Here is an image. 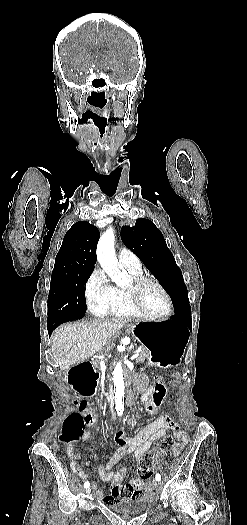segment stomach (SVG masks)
I'll list each match as a JSON object with an SVG mask.
<instances>
[{
    "label": "stomach",
    "mask_w": 247,
    "mask_h": 525,
    "mask_svg": "<svg viewBox=\"0 0 247 525\" xmlns=\"http://www.w3.org/2000/svg\"><path fill=\"white\" fill-rule=\"evenodd\" d=\"M131 329L137 340L150 351L151 365L163 368L179 365L189 340V331L184 324L162 320L137 323Z\"/></svg>",
    "instance_id": "1"
}]
</instances>
